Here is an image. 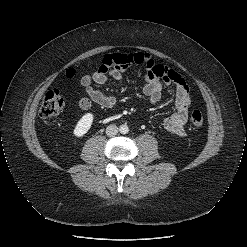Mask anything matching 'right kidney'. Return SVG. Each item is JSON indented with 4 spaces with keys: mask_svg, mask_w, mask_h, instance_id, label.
Returning <instances> with one entry per match:
<instances>
[{
    "mask_svg": "<svg viewBox=\"0 0 247 247\" xmlns=\"http://www.w3.org/2000/svg\"><path fill=\"white\" fill-rule=\"evenodd\" d=\"M94 116L92 113L84 114L81 119L77 122L73 134L76 137H83L90 129L93 123Z\"/></svg>",
    "mask_w": 247,
    "mask_h": 247,
    "instance_id": "ca27d5eb",
    "label": "right kidney"
}]
</instances>
